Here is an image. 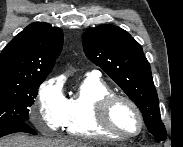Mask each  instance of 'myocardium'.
I'll list each match as a JSON object with an SVG mask.
<instances>
[{
  "label": "myocardium",
  "instance_id": "myocardium-1",
  "mask_svg": "<svg viewBox=\"0 0 183 147\" xmlns=\"http://www.w3.org/2000/svg\"><path fill=\"white\" fill-rule=\"evenodd\" d=\"M117 101H124L128 105H130L135 113L137 114L140 122L139 131L135 134H126L115 128L110 118V111L113 104ZM96 119L101 128H103L106 132L121 138V139H132L140 136L145 128V119L144 116L138 107V105L129 97L122 95L111 93L109 95L104 96L96 103Z\"/></svg>",
  "mask_w": 183,
  "mask_h": 147
}]
</instances>
